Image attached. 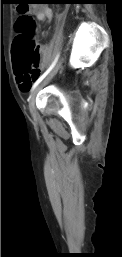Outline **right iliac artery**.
<instances>
[{"mask_svg":"<svg viewBox=\"0 0 122 257\" xmlns=\"http://www.w3.org/2000/svg\"><path fill=\"white\" fill-rule=\"evenodd\" d=\"M57 59H58V56L56 57L52 65L36 80V82L33 84L32 90L48 75V73L55 66Z\"/></svg>","mask_w":122,"mask_h":257,"instance_id":"1","label":"right iliac artery"}]
</instances>
